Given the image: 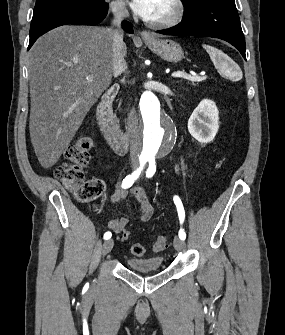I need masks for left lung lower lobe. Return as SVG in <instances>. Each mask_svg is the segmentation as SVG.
Masks as SVG:
<instances>
[{"instance_id": "1", "label": "left lung lower lobe", "mask_w": 285, "mask_h": 335, "mask_svg": "<svg viewBox=\"0 0 285 335\" xmlns=\"http://www.w3.org/2000/svg\"><path fill=\"white\" fill-rule=\"evenodd\" d=\"M158 33L219 38L236 47L246 60L245 39L234 0H199L185 7L183 19L176 27Z\"/></svg>"}]
</instances>
